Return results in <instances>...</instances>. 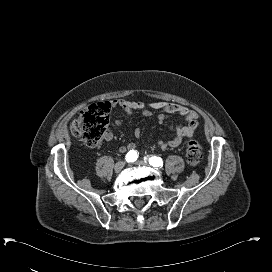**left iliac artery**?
I'll use <instances>...</instances> for the list:
<instances>
[{
  "label": "left iliac artery",
  "mask_w": 272,
  "mask_h": 272,
  "mask_svg": "<svg viewBox=\"0 0 272 272\" xmlns=\"http://www.w3.org/2000/svg\"><path fill=\"white\" fill-rule=\"evenodd\" d=\"M149 164L154 166V167H160L163 166V161L161 158L156 157V156H152L149 158Z\"/></svg>",
  "instance_id": "left-iliac-artery-1"
}]
</instances>
